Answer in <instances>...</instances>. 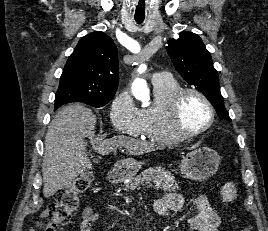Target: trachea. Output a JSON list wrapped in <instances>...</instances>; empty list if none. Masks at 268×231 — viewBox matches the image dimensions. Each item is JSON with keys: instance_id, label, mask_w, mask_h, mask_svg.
<instances>
[{"instance_id": "trachea-1", "label": "trachea", "mask_w": 268, "mask_h": 231, "mask_svg": "<svg viewBox=\"0 0 268 231\" xmlns=\"http://www.w3.org/2000/svg\"><path fill=\"white\" fill-rule=\"evenodd\" d=\"M135 20H136V22H137L138 24H141V23L144 21V19H137V18H135Z\"/></svg>"}]
</instances>
